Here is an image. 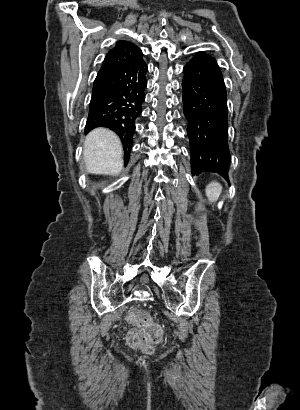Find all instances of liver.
Here are the masks:
<instances>
[{"instance_id":"6515ba94","label":"liver","mask_w":300,"mask_h":410,"mask_svg":"<svg viewBox=\"0 0 300 410\" xmlns=\"http://www.w3.org/2000/svg\"><path fill=\"white\" fill-rule=\"evenodd\" d=\"M83 159L88 173L119 174L123 167V148L119 137L109 129L92 130L84 142Z\"/></svg>"}]
</instances>
